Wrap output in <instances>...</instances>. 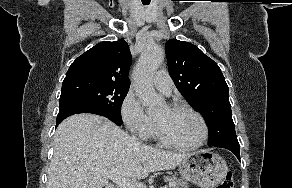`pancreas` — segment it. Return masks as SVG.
Returning a JSON list of instances; mask_svg holds the SVG:
<instances>
[{"label": "pancreas", "instance_id": "obj_1", "mask_svg": "<svg viewBox=\"0 0 292 188\" xmlns=\"http://www.w3.org/2000/svg\"><path fill=\"white\" fill-rule=\"evenodd\" d=\"M166 180L169 182L166 188H188L187 182L175 176H167Z\"/></svg>", "mask_w": 292, "mask_h": 188}]
</instances>
